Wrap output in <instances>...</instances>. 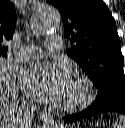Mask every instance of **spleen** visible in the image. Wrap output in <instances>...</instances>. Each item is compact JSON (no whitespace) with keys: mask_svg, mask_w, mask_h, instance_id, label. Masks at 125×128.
<instances>
[{"mask_svg":"<svg viewBox=\"0 0 125 128\" xmlns=\"http://www.w3.org/2000/svg\"><path fill=\"white\" fill-rule=\"evenodd\" d=\"M114 128H125V116L120 115L115 123H114Z\"/></svg>","mask_w":125,"mask_h":128,"instance_id":"3e777b00","label":"spleen"}]
</instances>
